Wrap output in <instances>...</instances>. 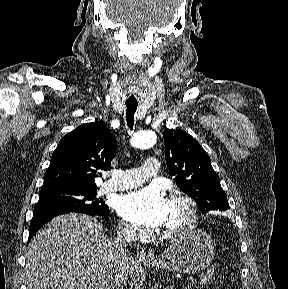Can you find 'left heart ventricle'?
Returning <instances> with one entry per match:
<instances>
[{
	"label": "left heart ventricle",
	"mask_w": 288,
	"mask_h": 289,
	"mask_svg": "<svg viewBox=\"0 0 288 289\" xmlns=\"http://www.w3.org/2000/svg\"><path fill=\"white\" fill-rule=\"evenodd\" d=\"M186 208L183 203L179 201H169L167 204V219L164 229H176L184 225L186 221Z\"/></svg>",
	"instance_id": "1"
}]
</instances>
